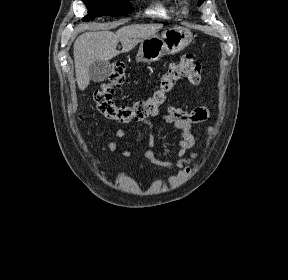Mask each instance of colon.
Returning a JSON list of instances; mask_svg holds the SVG:
<instances>
[{"instance_id": "1", "label": "colon", "mask_w": 288, "mask_h": 280, "mask_svg": "<svg viewBox=\"0 0 288 280\" xmlns=\"http://www.w3.org/2000/svg\"><path fill=\"white\" fill-rule=\"evenodd\" d=\"M202 77L200 63L191 54H186L168 66L161 75L158 88L150 96L132 104L118 105L113 101V94L115 88L124 83L125 70L123 65L115 64L109 80L96 91L95 101L99 112L109 119L122 123L140 121L158 112L166 102L168 92L180 79H185L191 84H199Z\"/></svg>"}]
</instances>
